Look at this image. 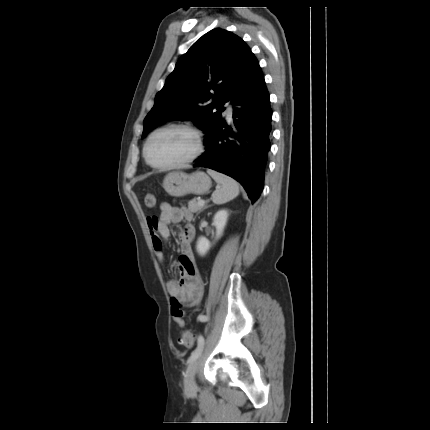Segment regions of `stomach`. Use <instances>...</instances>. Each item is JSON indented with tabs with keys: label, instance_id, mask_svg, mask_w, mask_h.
Returning a JSON list of instances; mask_svg holds the SVG:
<instances>
[{
	"label": "stomach",
	"instance_id": "1",
	"mask_svg": "<svg viewBox=\"0 0 430 430\" xmlns=\"http://www.w3.org/2000/svg\"><path fill=\"white\" fill-rule=\"evenodd\" d=\"M211 187L210 177L203 171L191 174L177 171L168 173L163 181V188L173 197H182L188 194L201 195Z\"/></svg>",
	"mask_w": 430,
	"mask_h": 430
}]
</instances>
